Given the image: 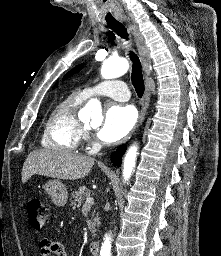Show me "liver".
Masks as SVG:
<instances>
[{
	"instance_id": "6515ba94",
	"label": "liver",
	"mask_w": 221,
	"mask_h": 256,
	"mask_svg": "<svg viewBox=\"0 0 221 256\" xmlns=\"http://www.w3.org/2000/svg\"><path fill=\"white\" fill-rule=\"evenodd\" d=\"M94 165V159L60 149H40L31 152L22 169V182L33 175L76 180L85 177Z\"/></svg>"
}]
</instances>
